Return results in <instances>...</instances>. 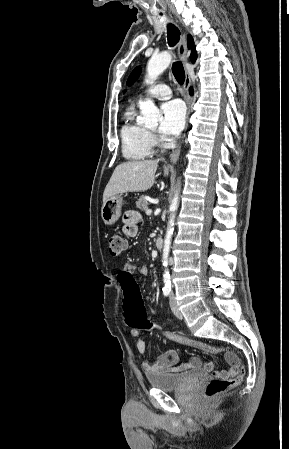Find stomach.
Instances as JSON below:
<instances>
[{
  "label": "stomach",
  "instance_id": "0dacf381",
  "mask_svg": "<svg viewBox=\"0 0 289 449\" xmlns=\"http://www.w3.org/2000/svg\"><path fill=\"white\" fill-rule=\"evenodd\" d=\"M123 199L121 195H114L108 198L101 208V217L105 224H114L121 216Z\"/></svg>",
  "mask_w": 289,
  "mask_h": 449
}]
</instances>
